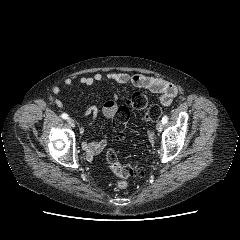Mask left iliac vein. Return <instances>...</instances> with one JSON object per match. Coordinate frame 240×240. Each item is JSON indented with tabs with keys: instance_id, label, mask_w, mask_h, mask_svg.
Segmentation results:
<instances>
[{
	"instance_id": "4c4485c4",
	"label": "left iliac vein",
	"mask_w": 240,
	"mask_h": 240,
	"mask_svg": "<svg viewBox=\"0 0 240 240\" xmlns=\"http://www.w3.org/2000/svg\"><path fill=\"white\" fill-rule=\"evenodd\" d=\"M156 129H157L158 132H161L163 130V123H162V121H159L156 124Z\"/></svg>"
}]
</instances>
